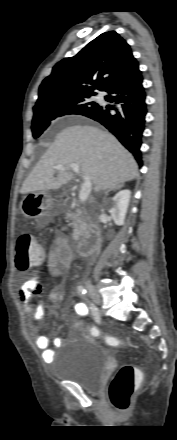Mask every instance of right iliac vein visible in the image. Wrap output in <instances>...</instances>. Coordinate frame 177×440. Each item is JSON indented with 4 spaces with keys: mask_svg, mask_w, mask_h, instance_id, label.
I'll return each mask as SVG.
<instances>
[{
    "mask_svg": "<svg viewBox=\"0 0 177 440\" xmlns=\"http://www.w3.org/2000/svg\"><path fill=\"white\" fill-rule=\"evenodd\" d=\"M87 290H88V294L91 297V299L96 304H100L101 303V297H100L99 293L97 292L96 288L91 283L87 284Z\"/></svg>",
    "mask_w": 177,
    "mask_h": 440,
    "instance_id": "1",
    "label": "right iliac vein"
}]
</instances>
